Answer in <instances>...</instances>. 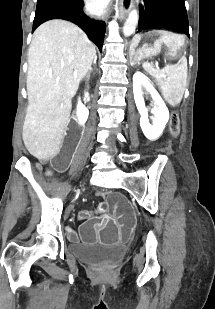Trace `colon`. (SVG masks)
Masks as SVG:
<instances>
[{
	"mask_svg": "<svg viewBox=\"0 0 215 309\" xmlns=\"http://www.w3.org/2000/svg\"><path fill=\"white\" fill-rule=\"evenodd\" d=\"M180 128L179 115L177 112H173L171 115V131L174 136L178 135Z\"/></svg>",
	"mask_w": 215,
	"mask_h": 309,
	"instance_id": "obj_1",
	"label": "colon"
}]
</instances>
